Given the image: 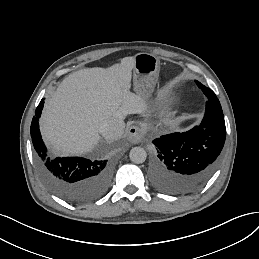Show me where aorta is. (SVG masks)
Instances as JSON below:
<instances>
[{
    "mask_svg": "<svg viewBox=\"0 0 259 259\" xmlns=\"http://www.w3.org/2000/svg\"><path fill=\"white\" fill-rule=\"evenodd\" d=\"M130 160L135 164H141L145 162L147 153L142 147H133L129 154Z\"/></svg>",
    "mask_w": 259,
    "mask_h": 259,
    "instance_id": "1",
    "label": "aorta"
}]
</instances>
